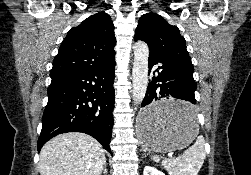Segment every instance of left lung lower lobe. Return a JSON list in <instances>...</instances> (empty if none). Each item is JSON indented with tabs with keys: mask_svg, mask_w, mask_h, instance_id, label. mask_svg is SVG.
Returning a JSON list of instances; mask_svg holds the SVG:
<instances>
[{
	"mask_svg": "<svg viewBox=\"0 0 251 175\" xmlns=\"http://www.w3.org/2000/svg\"><path fill=\"white\" fill-rule=\"evenodd\" d=\"M162 64L153 72L150 79L139 115L144 126H154L165 123L186 122L197 116L194 92L196 83L193 79V67L182 62L170 60L163 55L150 52L149 72L156 64ZM171 97L188 101L176 106H154L155 101Z\"/></svg>",
	"mask_w": 251,
	"mask_h": 175,
	"instance_id": "1",
	"label": "left lung lower lobe"
}]
</instances>
